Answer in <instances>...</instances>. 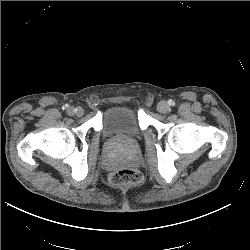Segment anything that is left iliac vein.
<instances>
[{
    "instance_id": "obj_1",
    "label": "left iliac vein",
    "mask_w": 250,
    "mask_h": 250,
    "mask_svg": "<svg viewBox=\"0 0 250 250\" xmlns=\"http://www.w3.org/2000/svg\"><path fill=\"white\" fill-rule=\"evenodd\" d=\"M157 110L160 113H167L169 111V105L165 101H161L157 105Z\"/></svg>"
}]
</instances>
